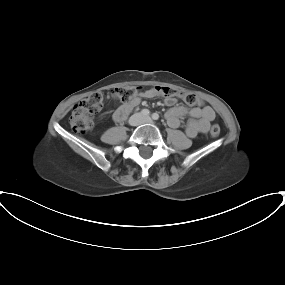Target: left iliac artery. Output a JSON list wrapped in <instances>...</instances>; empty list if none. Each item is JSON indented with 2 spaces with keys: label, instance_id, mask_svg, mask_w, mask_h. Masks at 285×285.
Instances as JSON below:
<instances>
[{
  "label": "left iliac artery",
  "instance_id": "obj_1",
  "mask_svg": "<svg viewBox=\"0 0 285 285\" xmlns=\"http://www.w3.org/2000/svg\"><path fill=\"white\" fill-rule=\"evenodd\" d=\"M152 118H153L154 120H158V119H159V115H158L157 113H153V114H152Z\"/></svg>",
  "mask_w": 285,
  "mask_h": 285
}]
</instances>
